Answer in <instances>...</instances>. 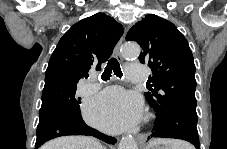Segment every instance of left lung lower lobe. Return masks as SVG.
I'll return each instance as SVG.
<instances>
[{"instance_id":"left-lung-lower-lobe-1","label":"left lung lower lobe","mask_w":227,"mask_h":149,"mask_svg":"<svg viewBox=\"0 0 227 149\" xmlns=\"http://www.w3.org/2000/svg\"><path fill=\"white\" fill-rule=\"evenodd\" d=\"M156 111L157 118L154 121L152 138H175L192 143L200 149L199 136L197 131V114L180 108Z\"/></svg>"}]
</instances>
